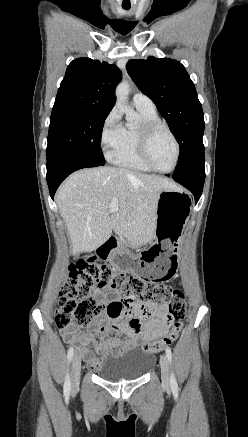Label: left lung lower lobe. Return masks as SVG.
Returning <instances> with one entry per match:
<instances>
[{
    "label": "left lung lower lobe",
    "instance_id": "0a47b994",
    "mask_svg": "<svg viewBox=\"0 0 248 437\" xmlns=\"http://www.w3.org/2000/svg\"><path fill=\"white\" fill-rule=\"evenodd\" d=\"M172 178L190 190L195 197V203H197L202 194L205 181L204 161L198 163L196 168L182 174L173 175Z\"/></svg>",
    "mask_w": 248,
    "mask_h": 437
}]
</instances>
